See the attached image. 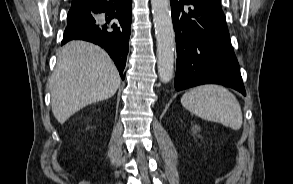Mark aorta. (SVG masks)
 Listing matches in <instances>:
<instances>
[{
	"instance_id": "1",
	"label": "aorta",
	"mask_w": 293,
	"mask_h": 184,
	"mask_svg": "<svg viewBox=\"0 0 293 184\" xmlns=\"http://www.w3.org/2000/svg\"><path fill=\"white\" fill-rule=\"evenodd\" d=\"M157 42L159 78L168 83L174 73L175 34L170 12V0H151Z\"/></svg>"
}]
</instances>
